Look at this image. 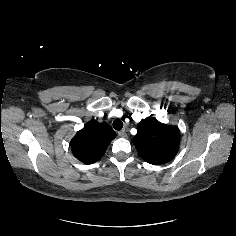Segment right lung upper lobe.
<instances>
[{
  "mask_svg": "<svg viewBox=\"0 0 236 236\" xmlns=\"http://www.w3.org/2000/svg\"><path fill=\"white\" fill-rule=\"evenodd\" d=\"M115 137L116 133L107 123L89 121L71 140L73 155L85 164L95 163Z\"/></svg>",
  "mask_w": 236,
  "mask_h": 236,
  "instance_id": "1",
  "label": "right lung upper lobe"
}]
</instances>
